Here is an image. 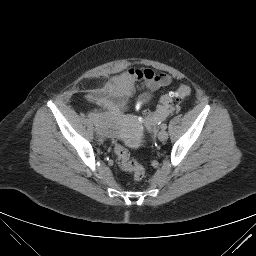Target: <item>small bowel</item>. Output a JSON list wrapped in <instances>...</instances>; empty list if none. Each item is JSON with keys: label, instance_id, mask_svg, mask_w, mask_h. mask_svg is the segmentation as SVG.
<instances>
[{"label": "small bowel", "instance_id": "obj_1", "mask_svg": "<svg viewBox=\"0 0 256 256\" xmlns=\"http://www.w3.org/2000/svg\"><path fill=\"white\" fill-rule=\"evenodd\" d=\"M168 74H155L150 69L131 68L121 74L113 76L102 87L89 95L90 101L109 110L116 120L125 116L131 98L139 86L149 90H157L171 82ZM176 111V108L159 107L154 121L160 122Z\"/></svg>", "mask_w": 256, "mask_h": 256}]
</instances>
